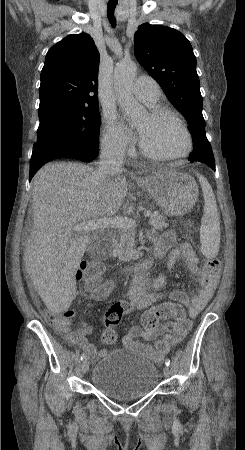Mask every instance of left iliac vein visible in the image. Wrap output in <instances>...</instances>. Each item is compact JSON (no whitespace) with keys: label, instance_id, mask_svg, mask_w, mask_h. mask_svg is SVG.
<instances>
[{"label":"left iliac vein","instance_id":"1","mask_svg":"<svg viewBox=\"0 0 245 450\" xmlns=\"http://www.w3.org/2000/svg\"><path fill=\"white\" fill-rule=\"evenodd\" d=\"M163 373H164V376H165V377H169V375H170V369H169L168 366H165V367H164Z\"/></svg>","mask_w":245,"mask_h":450}]
</instances>
